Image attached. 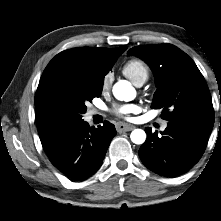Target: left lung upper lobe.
I'll use <instances>...</instances> for the list:
<instances>
[{"instance_id": "5c2ea615", "label": "left lung upper lobe", "mask_w": 221, "mask_h": 221, "mask_svg": "<svg viewBox=\"0 0 221 221\" xmlns=\"http://www.w3.org/2000/svg\"><path fill=\"white\" fill-rule=\"evenodd\" d=\"M128 55L144 60L155 75L157 90L151 108L162 109L169 124L190 126L209 136L214 110L205 79L194 61L172 44L141 45Z\"/></svg>"}]
</instances>
